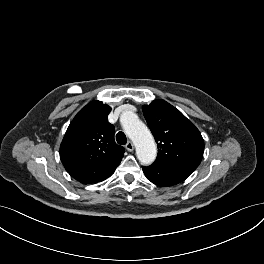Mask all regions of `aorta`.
Listing matches in <instances>:
<instances>
[{
	"instance_id": "obj_1",
	"label": "aorta",
	"mask_w": 264,
	"mask_h": 264,
	"mask_svg": "<svg viewBox=\"0 0 264 264\" xmlns=\"http://www.w3.org/2000/svg\"><path fill=\"white\" fill-rule=\"evenodd\" d=\"M120 121L125 133L135 144L138 160L143 165L153 163L157 155V148L149 129L133 112L123 113Z\"/></svg>"
}]
</instances>
